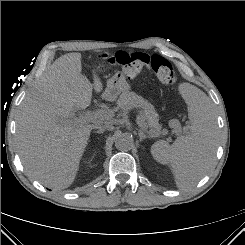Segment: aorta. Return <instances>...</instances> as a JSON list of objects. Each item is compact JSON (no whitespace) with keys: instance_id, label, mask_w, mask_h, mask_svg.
Returning a JSON list of instances; mask_svg holds the SVG:
<instances>
[{"instance_id":"762f6f07","label":"aorta","mask_w":245,"mask_h":245,"mask_svg":"<svg viewBox=\"0 0 245 245\" xmlns=\"http://www.w3.org/2000/svg\"><path fill=\"white\" fill-rule=\"evenodd\" d=\"M133 138L129 134H120L115 140V147L121 151H128L132 148Z\"/></svg>"}]
</instances>
